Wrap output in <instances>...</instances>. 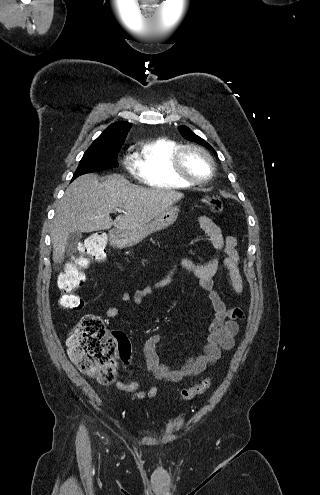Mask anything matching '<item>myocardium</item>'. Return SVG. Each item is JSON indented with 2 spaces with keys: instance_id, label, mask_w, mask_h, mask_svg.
Instances as JSON below:
<instances>
[{
  "instance_id": "obj_1",
  "label": "myocardium",
  "mask_w": 320,
  "mask_h": 495,
  "mask_svg": "<svg viewBox=\"0 0 320 495\" xmlns=\"http://www.w3.org/2000/svg\"><path fill=\"white\" fill-rule=\"evenodd\" d=\"M197 151L202 154L209 164V173L206 177L196 178L188 174L183 166V157L187 151ZM172 168L176 176L180 179L186 181L191 185H200L208 182L214 175L215 172V162L211 154L203 147L196 144H184L180 145L172 156Z\"/></svg>"
}]
</instances>
